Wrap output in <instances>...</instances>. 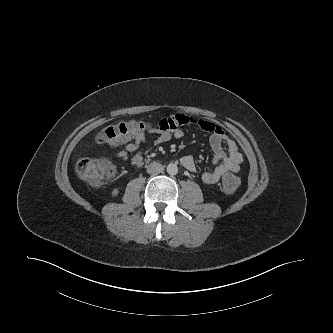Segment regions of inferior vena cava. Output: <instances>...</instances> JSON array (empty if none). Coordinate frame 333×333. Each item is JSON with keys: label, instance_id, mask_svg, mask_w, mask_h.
<instances>
[{"label": "inferior vena cava", "instance_id": "obj_1", "mask_svg": "<svg viewBox=\"0 0 333 333\" xmlns=\"http://www.w3.org/2000/svg\"><path fill=\"white\" fill-rule=\"evenodd\" d=\"M163 170H164L163 165L157 162H153L149 164L147 167V172L149 174H158L163 172Z\"/></svg>", "mask_w": 333, "mask_h": 333}]
</instances>
